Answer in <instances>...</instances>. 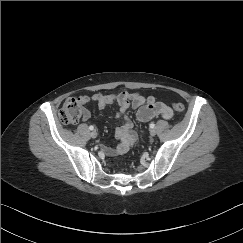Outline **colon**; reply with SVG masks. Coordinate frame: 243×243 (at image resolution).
I'll return each mask as SVG.
<instances>
[{
	"label": "colon",
	"instance_id": "colon-1",
	"mask_svg": "<svg viewBox=\"0 0 243 243\" xmlns=\"http://www.w3.org/2000/svg\"><path fill=\"white\" fill-rule=\"evenodd\" d=\"M172 108L179 114L185 111V106L181 102L174 103ZM82 114L83 108L81 99L68 98L58 112V119L63 124H75L79 121Z\"/></svg>",
	"mask_w": 243,
	"mask_h": 243
}]
</instances>
